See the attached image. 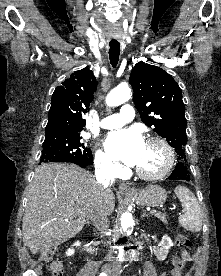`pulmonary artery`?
Returning <instances> with one entry per match:
<instances>
[{"instance_id": "e3ab8cb5", "label": "pulmonary artery", "mask_w": 221, "mask_h": 276, "mask_svg": "<svg viewBox=\"0 0 221 276\" xmlns=\"http://www.w3.org/2000/svg\"><path fill=\"white\" fill-rule=\"evenodd\" d=\"M135 115L134 109L131 105L125 104L120 108L119 113L105 117L100 125L105 129H114L123 126L133 120Z\"/></svg>"}]
</instances>
